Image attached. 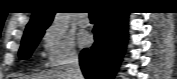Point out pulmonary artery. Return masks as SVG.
I'll return each mask as SVG.
<instances>
[{
    "instance_id": "e3ab8cb5",
    "label": "pulmonary artery",
    "mask_w": 177,
    "mask_h": 79,
    "mask_svg": "<svg viewBox=\"0 0 177 79\" xmlns=\"http://www.w3.org/2000/svg\"><path fill=\"white\" fill-rule=\"evenodd\" d=\"M78 23L80 26L82 27H86L89 25V19H88V16L86 14H82L79 16V19H78Z\"/></svg>"
}]
</instances>
